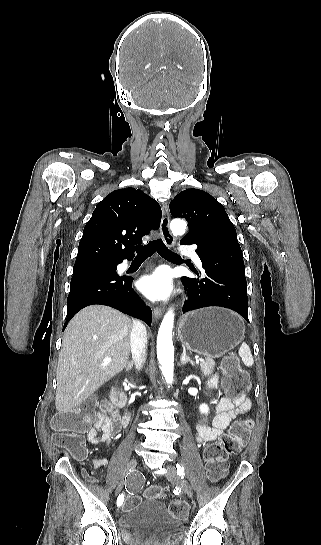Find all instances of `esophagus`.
<instances>
[{
  "mask_svg": "<svg viewBox=\"0 0 321 545\" xmlns=\"http://www.w3.org/2000/svg\"><path fill=\"white\" fill-rule=\"evenodd\" d=\"M160 233L162 238L169 244H174V237L171 233V230L169 228V213L168 208L165 204H162V220L160 225ZM164 313L163 307H156L154 309V317L155 319H159L162 314Z\"/></svg>",
  "mask_w": 321,
  "mask_h": 545,
  "instance_id": "esophagus-1",
  "label": "esophagus"
}]
</instances>
